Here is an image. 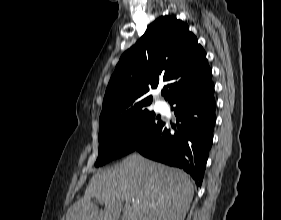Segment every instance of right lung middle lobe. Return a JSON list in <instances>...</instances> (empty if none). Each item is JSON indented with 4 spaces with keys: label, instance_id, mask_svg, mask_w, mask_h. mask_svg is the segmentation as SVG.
Wrapping results in <instances>:
<instances>
[{
    "label": "right lung middle lobe",
    "instance_id": "right-lung-middle-lobe-1",
    "mask_svg": "<svg viewBox=\"0 0 281 220\" xmlns=\"http://www.w3.org/2000/svg\"><path fill=\"white\" fill-rule=\"evenodd\" d=\"M162 124L159 116L144 109L99 126V155L95 166L133 152L151 138Z\"/></svg>",
    "mask_w": 281,
    "mask_h": 220
}]
</instances>
